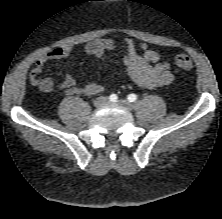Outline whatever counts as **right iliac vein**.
<instances>
[{"instance_id": "right-iliac-vein-1", "label": "right iliac vein", "mask_w": 222, "mask_h": 219, "mask_svg": "<svg viewBox=\"0 0 222 219\" xmlns=\"http://www.w3.org/2000/svg\"><path fill=\"white\" fill-rule=\"evenodd\" d=\"M105 103H106V99H105V98H100V99H98V100L95 102L96 106H102V105L105 104Z\"/></svg>"}]
</instances>
